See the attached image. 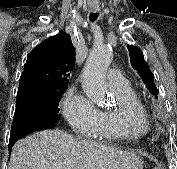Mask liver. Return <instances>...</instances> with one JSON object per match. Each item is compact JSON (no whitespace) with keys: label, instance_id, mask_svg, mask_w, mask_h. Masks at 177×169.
<instances>
[{"label":"liver","instance_id":"6515ba94","mask_svg":"<svg viewBox=\"0 0 177 169\" xmlns=\"http://www.w3.org/2000/svg\"><path fill=\"white\" fill-rule=\"evenodd\" d=\"M141 165L132 152L78 140L60 130H44L16 142L9 169H136Z\"/></svg>","mask_w":177,"mask_h":169}]
</instances>
